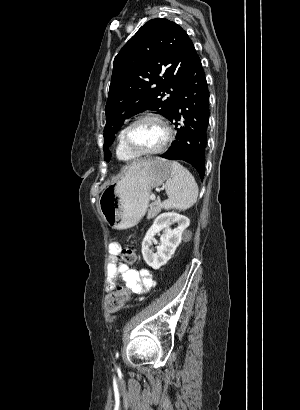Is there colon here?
<instances>
[{
  "mask_svg": "<svg viewBox=\"0 0 300 410\" xmlns=\"http://www.w3.org/2000/svg\"><path fill=\"white\" fill-rule=\"evenodd\" d=\"M137 258L136 251L130 246L123 247L120 252V259L125 263H133ZM130 297V291L124 287H118L109 293L105 300V307L109 312H116L121 309Z\"/></svg>",
  "mask_w": 300,
  "mask_h": 410,
  "instance_id": "1",
  "label": "colon"
}]
</instances>
